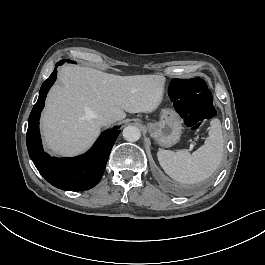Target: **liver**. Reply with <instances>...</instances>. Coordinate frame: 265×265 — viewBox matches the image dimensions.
<instances>
[{
  "label": "liver",
  "instance_id": "1",
  "mask_svg": "<svg viewBox=\"0 0 265 265\" xmlns=\"http://www.w3.org/2000/svg\"><path fill=\"white\" fill-rule=\"evenodd\" d=\"M163 75L118 76L78 65L63 66L41 116L44 143L53 154L86 151L100 133V115L115 121L129 113L152 112L162 101Z\"/></svg>",
  "mask_w": 265,
  "mask_h": 265
}]
</instances>
